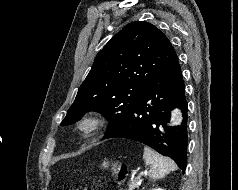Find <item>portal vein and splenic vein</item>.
Returning <instances> with one entry per match:
<instances>
[{
  "mask_svg": "<svg viewBox=\"0 0 238 190\" xmlns=\"http://www.w3.org/2000/svg\"><path fill=\"white\" fill-rule=\"evenodd\" d=\"M147 173V171L145 170V171H143L140 175H142V174H146Z\"/></svg>",
  "mask_w": 238,
  "mask_h": 190,
  "instance_id": "obj_1",
  "label": "portal vein and splenic vein"
}]
</instances>
